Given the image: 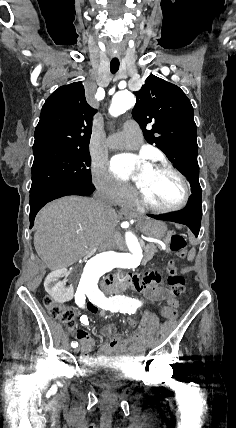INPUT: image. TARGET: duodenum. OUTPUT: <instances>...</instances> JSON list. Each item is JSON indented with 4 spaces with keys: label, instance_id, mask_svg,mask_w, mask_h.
Instances as JSON below:
<instances>
[{
    "label": "duodenum",
    "instance_id": "1",
    "mask_svg": "<svg viewBox=\"0 0 236 428\" xmlns=\"http://www.w3.org/2000/svg\"><path fill=\"white\" fill-rule=\"evenodd\" d=\"M139 277L132 273H123L106 277L101 284V291L106 297H119L124 292L133 288Z\"/></svg>",
    "mask_w": 236,
    "mask_h": 428
}]
</instances>
